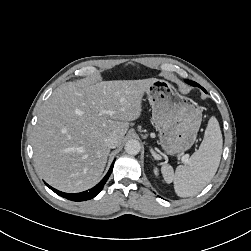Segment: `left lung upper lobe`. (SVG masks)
<instances>
[{
  "mask_svg": "<svg viewBox=\"0 0 251 251\" xmlns=\"http://www.w3.org/2000/svg\"><path fill=\"white\" fill-rule=\"evenodd\" d=\"M186 82L192 86H197V87H200L202 90H204L203 87H201L199 84H197L196 82H193L191 80H186ZM205 91V90H204Z\"/></svg>",
  "mask_w": 251,
  "mask_h": 251,
  "instance_id": "1",
  "label": "left lung upper lobe"
}]
</instances>
